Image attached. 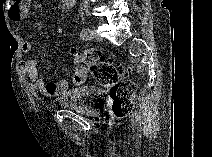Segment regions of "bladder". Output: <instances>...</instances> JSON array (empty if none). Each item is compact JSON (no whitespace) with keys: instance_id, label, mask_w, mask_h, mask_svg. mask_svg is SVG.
<instances>
[{"instance_id":"31cf9c89","label":"bladder","mask_w":212,"mask_h":157,"mask_svg":"<svg viewBox=\"0 0 212 157\" xmlns=\"http://www.w3.org/2000/svg\"><path fill=\"white\" fill-rule=\"evenodd\" d=\"M104 97V91L97 86H85L67 91L58 100V106L74 109L88 116L96 117L98 106Z\"/></svg>"}]
</instances>
